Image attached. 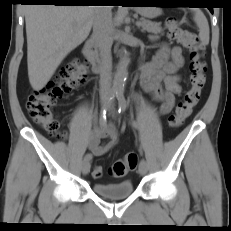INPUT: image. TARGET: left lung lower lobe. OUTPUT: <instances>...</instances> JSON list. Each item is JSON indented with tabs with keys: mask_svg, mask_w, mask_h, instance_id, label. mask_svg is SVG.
I'll use <instances>...</instances> for the list:
<instances>
[{
	"mask_svg": "<svg viewBox=\"0 0 231 231\" xmlns=\"http://www.w3.org/2000/svg\"><path fill=\"white\" fill-rule=\"evenodd\" d=\"M208 9L211 11V13H213V8L212 7H208Z\"/></svg>",
	"mask_w": 231,
	"mask_h": 231,
	"instance_id": "left-lung-lower-lobe-1",
	"label": "left lung lower lobe"
}]
</instances>
